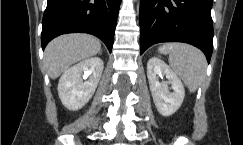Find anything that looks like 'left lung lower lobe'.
Instances as JSON below:
<instances>
[{
    "mask_svg": "<svg viewBox=\"0 0 243 145\" xmlns=\"http://www.w3.org/2000/svg\"><path fill=\"white\" fill-rule=\"evenodd\" d=\"M212 0H141L140 54L159 42H185L213 51Z\"/></svg>",
    "mask_w": 243,
    "mask_h": 145,
    "instance_id": "left-lung-lower-lobe-1",
    "label": "left lung lower lobe"
}]
</instances>
